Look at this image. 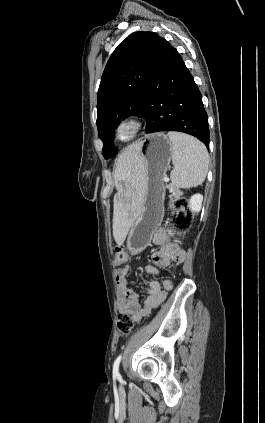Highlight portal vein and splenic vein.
<instances>
[{
    "instance_id": "18ae733b",
    "label": "portal vein and splenic vein",
    "mask_w": 265,
    "mask_h": 423,
    "mask_svg": "<svg viewBox=\"0 0 265 423\" xmlns=\"http://www.w3.org/2000/svg\"><path fill=\"white\" fill-rule=\"evenodd\" d=\"M166 182H169V178L168 177H165V179H164Z\"/></svg>"
}]
</instances>
